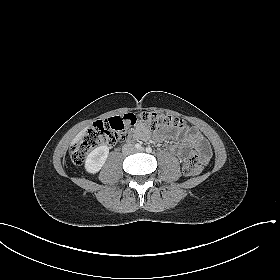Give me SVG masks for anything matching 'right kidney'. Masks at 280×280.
I'll list each match as a JSON object with an SVG mask.
<instances>
[{
	"label": "right kidney",
	"instance_id": "right-kidney-1",
	"mask_svg": "<svg viewBox=\"0 0 280 280\" xmlns=\"http://www.w3.org/2000/svg\"><path fill=\"white\" fill-rule=\"evenodd\" d=\"M109 154V148L105 145L92 150L85 159V170L90 174L100 171L106 162Z\"/></svg>",
	"mask_w": 280,
	"mask_h": 280
}]
</instances>
